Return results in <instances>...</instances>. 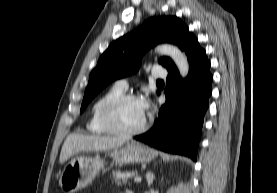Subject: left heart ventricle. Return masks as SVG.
Instances as JSON below:
<instances>
[{
	"label": "left heart ventricle",
	"mask_w": 277,
	"mask_h": 193,
	"mask_svg": "<svg viewBox=\"0 0 277 193\" xmlns=\"http://www.w3.org/2000/svg\"><path fill=\"white\" fill-rule=\"evenodd\" d=\"M139 100H129L122 103L116 111L117 125L123 130H131L139 127L145 120Z\"/></svg>",
	"instance_id": "1"
}]
</instances>
